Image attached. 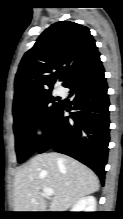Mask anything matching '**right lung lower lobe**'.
I'll list each match as a JSON object with an SVG mask.
<instances>
[{
    "instance_id": "right-lung-lower-lobe-1",
    "label": "right lung lower lobe",
    "mask_w": 123,
    "mask_h": 219,
    "mask_svg": "<svg viewBox=\"0 0 123 219\" xmlns=\"http://www.w3.org/2000/svg\"><path fill=\"white\" fill-rule=\"evenodd\" d=\"M72 104L61 102L47 126L38 153L53 148L90 167L105 180L109 144V99L100 57L74 74L64 85ZM65 112H70L65 117Z\"/></svg>"
}]
</instances>
